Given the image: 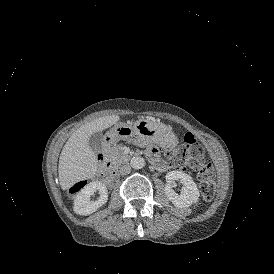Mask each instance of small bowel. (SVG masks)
I'll return each mask as SVG.
<instances>
[{
    "mask_svg": "<svg viewBox=\"0 0 274 274\" xmlns=\"http://www.w3.org/2000/svg\"><path fill=\"white\" fill-rule=\"evenodd\" d=\"M147 156L152 164H155L158 160H160L158 156V150L155 147H151L147 151Z\"/></svg>",
    "mask_w": 274,
    "mask_h": 274,
    "instance_id": "1",
    "label": "small bowel"
}]
</instances>
